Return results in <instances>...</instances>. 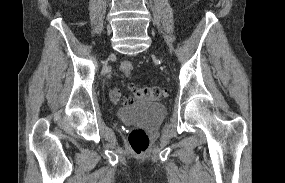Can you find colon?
<instances>
[{
	"mask_svg": "<svg viewBox=\"0 0 285 183\" xmlns=\"http://www.w3.org/2000/svg\"><path fill=\"white\" fill-rule=\"evenodd\" d=\"M121 73L128 77L134 71V65L131 62H123L120 65ZM133 96L136 99H142L147 101H157L165 96V91L157 86L153 87H134ZM111 97V96H110ZM133 98H125L124 104H130ZM150 144V138L148 134L141 128L133 129L129 134V145L135 154L144 153Z\"/></svg>",
	"mask_w": 285,
	"mask_h": 183,
	"instance_id": "colon-1",
	"label": "colon"
}]
</instances>
